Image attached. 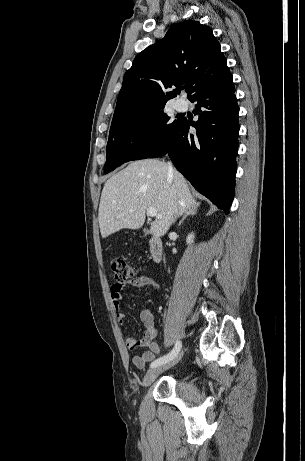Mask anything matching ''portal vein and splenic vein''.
Returning a JSON list of instances; mask_svg holds the SVG:
<instances>
[{
	"mask_svg": "<svg viewBox=\"0 0 305 461\" xmlns=\"http://www.w3.org/2000/svg\"><path fill=\"white\" fill-rule=\"evenodd\" d=\"M147 215L150 217L161 218L162 215L158 214L155 208L149 207L147 208Z\"/></svg>",
	"mask_w": 305,
	"mask_h": 461,
	"instance_id": "1",
	"label": "portal vein and splenic vein"
}]
</instances>
